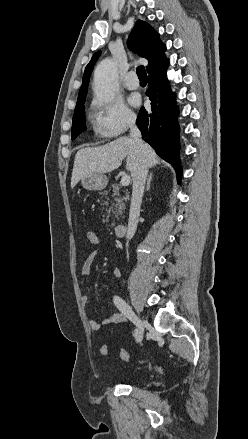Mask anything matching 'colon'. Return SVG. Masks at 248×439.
Wrapping results in <instances>:
<instances>
[{
	"instance_id": "obj_1",
	"label": "colon",
	"mask_w": 248,
	"mask_h": 439,
	"mask_svg": "<svg viewBox=\"0 0 248 439\" xmlns=\"http://www.w3.org/2000/svg\"><path fill=\"white\" fill-rule=\"evenodd\" d=\"M87 241L91 246H98L100 244V235L96 231L87 232ZM100 352L103 356H107L109 353V349L107 345H102L100 348ZM119 356L124 361L130 360V354L125 349H120Z\"/></svg>"
}]
</instances>
